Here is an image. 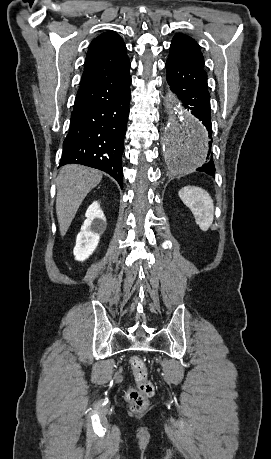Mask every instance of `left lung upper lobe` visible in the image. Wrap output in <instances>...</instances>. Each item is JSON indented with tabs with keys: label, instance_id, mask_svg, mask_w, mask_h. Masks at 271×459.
Masks as SVG:
<instances>
[{
	"label": "left lung upper lobe",
	"instance_id": "left-lung-upper-lobe-1",
	"mask_svg": "<svg viewBox=\"0 0 271 459\" xmlns=\"http://www.w3.org/2000/svg\"><path fill=\"white\" fill-rule=\"evenodd\" d=\"M168 60L195 67H204V57L199 45L191 37L178 33L174 36Z\"/></svg>",
	"mask_w": 271,
	"mask_h": 459
}]
</instances>
